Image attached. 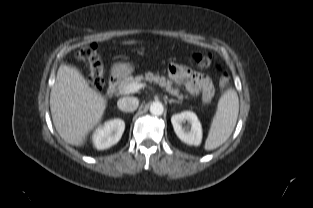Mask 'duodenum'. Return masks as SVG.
Segmentation results:
<instances>
[{"label":"duodenum","instance_id":"obj_1","mask_svg":"<svg viewBox=\"0 0 313 208\" xmlns=\"http://www.w3.org/2000/svg\"><path fill=\"white\" fill-rule=\"evenodd\" d=\"M117 82H118V78L116 75L113 74L110 77V80L106 89V95L113 96L115 94Z\"/></svg>","mask_w":313,"mask_h":208}]
</instances>
